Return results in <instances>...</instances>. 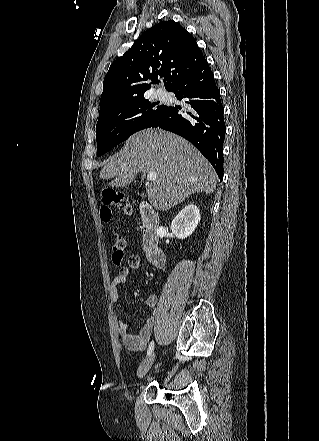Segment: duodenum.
I'll list each match as a JSON object with an SVG mask.
<instances>
[{
  "label": "duodenum",
  "instance_id": "duodenum-1",
  "mask_svg": "<svg viewBox=\"0 0 319 441\" xmlns=\"http://www.w3.org/2000/svg\"><path fill=\"white\" fill-rule=\"evenodd\" d=\"M140 214L143 222V245L149 262L157 268L165 265L164 250L158 244L159 216L147 202H141Z\"/></svg>",
  "mask_w": 319,
  "mask_h": 441
}]
</instances>
